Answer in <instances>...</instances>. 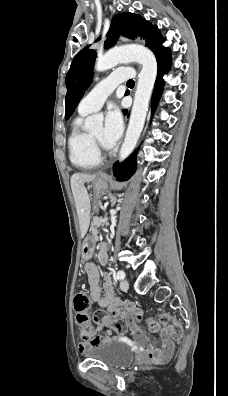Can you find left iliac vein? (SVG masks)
<instances>
[{
  "instance_id": "1",
  "label": "left iliac vein",
  "mask_w": 228,
  "mask_h": 396,
  "mask_svg": "<svg viewBox=\"0 0 228 396\" xmlns=\"http://www.w3.org/2000/svg\"><path fill=\"white\" fill-rule=\"evenodd\" d=\"M120 288H121L123 291H127V290H128V288H129V283H128V281H127L126 279H123V280L121 281V283H120Z\"/></svg>"
}]
</instances>
